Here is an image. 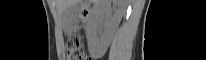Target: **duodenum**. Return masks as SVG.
Here are the masks:
<instances>
[{
  "label": "duodenum",
  "mask_w": 206,
  "mask_h": 60,
  "mask_svg": "<svg viewBox=\"0 0 206 60\" xmlns=\"http://www.w3.org/2000/svg\"><path fill=\"white\" fill-rule=\"evenodd\" d=\"M89 11H90V9H89L88 6H85V7L83 8V11H82V17H83V19H86V18H87L88 14H89Z\"/></svg>",
  "instance_id": "1"
}]
</instances>
